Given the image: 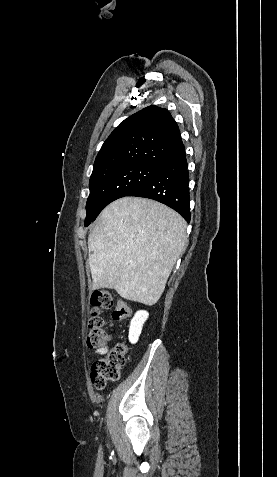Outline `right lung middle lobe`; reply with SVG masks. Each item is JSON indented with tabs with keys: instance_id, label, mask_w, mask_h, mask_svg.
<instances>
[{
	"instance_id": "dd1d6c3e",
	"label": "right lung middle lobe",
	"mask_w": 277,
	"mask_h": 477,
	"mask_svg": "<svg viewBox=\"0 0 277 477\" xmlns=\"http://www.w3.org/2000/svg\"><path fill=\"white\" fill-rule=\"evenodd\" d=\"M156 168L157 166L149 164L129 163L93 173L89 182L85 226L95 220L109 203L127 196L143 184Z\"/></svg>"
}]
</instances>
